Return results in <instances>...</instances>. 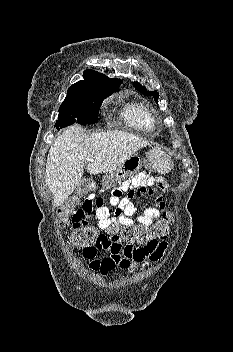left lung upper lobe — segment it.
I'll return each mask as SVG.
<instances>
[{"label":"left lung upper lobe","mask_w":233,"mask_h":352,"mask_svg":"<svg viewBox=\"0 0 233 352\" xmlns=\"http://www.w3.org/2000/svg\"><path fill=\"white\" fill-rule=\"evenodd\" d=\"M134 86L140 91H142L145 95L153 96L155 98V101L157 102V99L159 97V93L156 91H150L148 92L145 87L141 86L140 83L134 82Z\"/></svg>","instance_id":"obj_1"}]
</instances>
